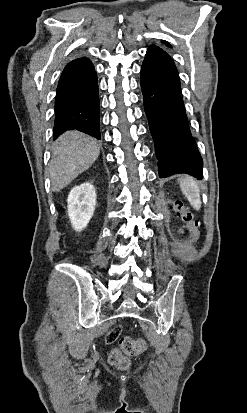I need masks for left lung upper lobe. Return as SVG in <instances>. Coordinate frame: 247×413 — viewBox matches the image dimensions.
Segmentation results:
<instances>
[{"mask_svg": "<svg viewBox=\"0 0 247 413\" xmlns=\"http://www.w3.org/2000/svg\"><path fill=\"white\" fill-rule=\"evenodd\" d=\"M162 42H164L167 46L171 47V45L168 42H166V41H162ZM152 47H157V46L152 45Z\"/></svg>", "mask_w": 247, "mask_h": 413, "instance_id": "5c2ea615", "label": "left lung upper lobe"}]
</instances>
